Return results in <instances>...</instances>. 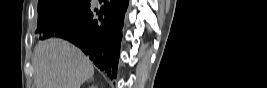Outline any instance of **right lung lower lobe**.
I'll use <instances>...</instances> for the list:
<instances>
[{"label": "right lung lower lobe", "instance_id": "1", "mask_svg": "<svg viewBox=\"0 0 267 88\" xmlns=\"http://www.w3.org/2000/svg\"><path fill=\"white\" fill-rule=\"evenodd\" d=\"M102 2L99 11L89 5L71 20L54 28L51 36L80 47L100 70L114 79L129 0H100Z\"/></svg>", "mask_w": 267, "mask_h": 88}]
</instances>
